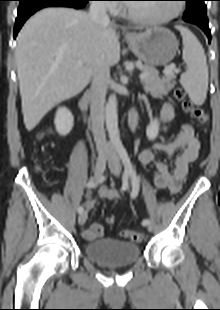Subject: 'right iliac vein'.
Segmentation results:
<instances>
[{
  "label": "right iliac vein",
  "instance_id": "right-iliac-vein-1",
  "mask_svg": "<svg viewBox=\"0 0 220 310\" xmlns=\"http://www.w3.org/2000/svg\"><path fill=\"white\" fill-rule=\"evenodd\" d=\"M108 160H109L108 158H100L97 161L94 168V176L92 178L93 181H98L99 178L102 176ZM86 220H87V212L83 211L78 217V222L82 226L85 224Z\"/></svg>",
  "mask_w": 220,
  "mask_h": 310
}]
</instances>
